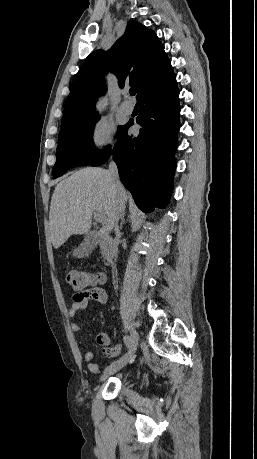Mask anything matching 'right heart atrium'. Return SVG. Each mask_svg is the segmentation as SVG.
Instances as JSON below:
<instances>
[{
	"label": "right heart atrium",
	"mask_w": 257,
	"mask_h": 459,
	"mask_svg": "<svg viewBox=\"0 0 257 459\" xmlns=\"http://www.w3.org/2000/svg\"><path fill=\"white\" fill-rule=\"evenodd\" d=\"M114 127L105 120L96 121L89 130L88 143L95 152H103L112 147Z\"/></svg>",
	"instance_id": "right-heart-atrium-1"
}]
</instances>
